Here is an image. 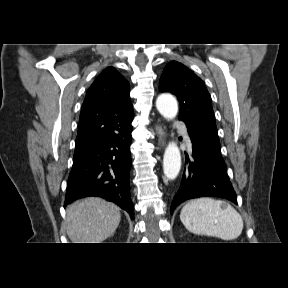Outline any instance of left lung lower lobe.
Instances as JSON below:
<instances>
[{
    "label": "left lung lower lobe",
    "mask_w": 288,
    "mask_h": 288,
    "mask_svg": "<svg viewBox=\"0 0 288 288\" xmlns=\"http://www.w3.org/2000/svg\"><path fill=\"white\" fill-rule=\"evenodd\" d=\"M188 133L194 161H189L184 170L181 186L173 198L170 213L173 214L176 206L185 200L203 196L222 197L237 204V196L221 156V146L194 128L188 127Z\"/></svg>",
    "instance_id": "left-lung-lower-lobe-1"
}]
</instances>
